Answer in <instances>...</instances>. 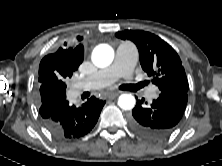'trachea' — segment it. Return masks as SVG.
<instances>
[{"label":"trachea","instance_id":"trachea-1","mask_svg":"<svg viewBox=\"0 0 222 166\" xmlns=\"http://www.w3.org/2000/svg\"><path fill=\"white\" fill-rule=\"evenodd\" d=\"M145 85H146L145 82H141L136 85H122V86H120V89H122V90H138L139 88H142Z\"/></svg>","mask_w":222,"mask_h":166}]
</instances>
